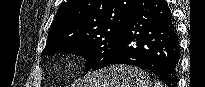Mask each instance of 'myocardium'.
<instances>
[{
	"mask_svg": "<svg viewBox=\"0 0 205 87\" xmlns=\"http://www.w3.org/2000/svg\"><path fill=\"white\" fill-rule=\"evenodd\" d=\"M75 63H76V58L74 56H67L58 63V67L60 70L66 71L71 67H73Z\"/></svg>",
	"mask_w": 205,
	"mask_h": 87,
	"instance_id": "f54148a6",
	"label": "myocardium"
}]
</instances>
